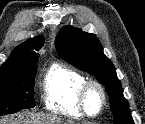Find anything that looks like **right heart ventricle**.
Returning a JSON list of instances; mask_svg holds the SVG:
<instances>
[{"mask_svg":"<svg viewBox=\"0 0 145 124\" xmlns=\"http://www.w3.org/2000/svg\"><path fill=\"white\" fill-rule=\"evenodd\" d=\"M86 81V76L78 70L62 64L52 65L43 78L45 107L69 118H83L79 91Z\"/></svg>","mask_w":145,"mask_h":124,"instance_id":"obj_1","label":"right heart ventricle"}]
</instances>
